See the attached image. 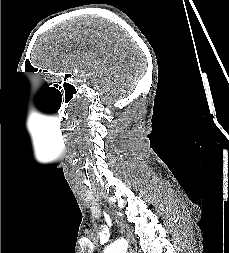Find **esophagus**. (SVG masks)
<instances>
[{
    "instance_id": "34e87169",
    "label": "esophagus",
    "mask_w": 229,
    "mask_h": 253,
    "mask_svg": "<svg viewBox=\"0 0 229 253\" xmlns=\"http://www.w3.org/2000/svg\"><path fill=\"white\" fill-rule=\"evenodd\" d=\"M115 222H116L118 228L120 229V232L124 233L126 235V238L129 241V252L130 253H137L135 240H134L132 234L130 233L128 227L119 218H115Z\"/></svg>"
}]
</instances>
